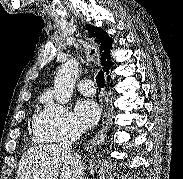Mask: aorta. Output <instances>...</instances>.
<instances>
[{
  "label": "aorta",
  "mask_w": 183,
  "mask_h": 179,
  "mask_svg": "<svg viewBox=\"0 0 183 179\" xmlns=\"http://www.w3.org/2000/svg\"><path fill=\"white\" fill-rule=\"evenodd\" d=\"M79 72V62L69 59L59 68L54 82V97L60 104H67L72 95Z\"/></svg>",
  "instance_id": "1"
}]
</instances>
